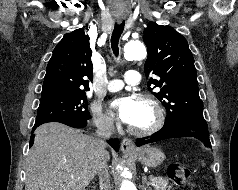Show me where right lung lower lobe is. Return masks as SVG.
I'll use <instances>...</instances> for the list:
<instances>
[{
  "label": "right lung lower lobe",
  "instance_id": "98d812e1",
  "mask_svg": "<svg viewBox=\"0 0 238 190\" xmlns=\"http://www.w3.org/2000/svg\"><path fill=\"white\" fill-rule=\"evenodd\" d=\"M54 122H60L63 123L65 125L74 127V128H84L87 125V120H62V121H54ZM47 123V122H45ZM43 123H37L34 125L33 129H32V133L33 131ZM108 143L115 149L118 150L119 148V141L117 139H111L108 141ZM33 145V138L30 139V146Z\"/></svg>",
  "mask_w": 238,
  "mask_h": 190
}]
</instances>
